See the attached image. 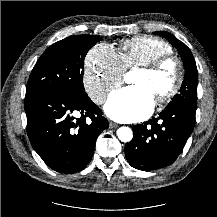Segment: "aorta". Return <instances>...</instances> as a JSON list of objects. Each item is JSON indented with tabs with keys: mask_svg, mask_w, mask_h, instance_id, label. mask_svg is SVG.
<instances>
[{
	"mask_svg": "<svg viewBox=\"0 0 217 217\" xmlns=\"http://www.w3.org/2000/svg\"><path fill=\"white\" fill-rule=\"evenodd\" d=\"M117 137L122 142H130L133 138V132L129 127H120L117 130Z\"/></svg>",
	"mask_w": 217,
	"mask_h": 217,
	"instance_id": "aorta-1",
	"label": "aorta"
}]
</instances>
